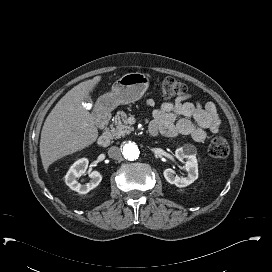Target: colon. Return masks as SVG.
I'll use <instances>...</instances> for the list:
<instances>
[{"mask_svg": "<svg viewBox=\"0 0 272 272\" xmlns=\"http://www.w3.org/2000/svg\"><path fill=\"white\" fill-rule=\"evenodd\" d=\"M159 86L162 97L167 100L183 97L187 92V86L184 83L171 77L161 79ZM229 150V144L222 136H216L210 141L209 152L213 157L224 158L229 154Z\"/></svg>", "mask_w": 272, "mask_h": 272, "instance_id": "colon-1", "label": "colon"}]
</instances>
